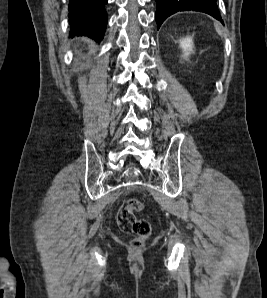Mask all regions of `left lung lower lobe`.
<instances>
[{
	"label": "left lung lower lobe",
	"instance_id": "obj_1",
	"mask_svg": "<svg viewBox=\"0 0 267 298\" xmlns=\"http://www.w3.org/2000/svg\"><path fill=\"white\" fill-rule=\"evenodd\" d=\"M156 22L157 29L170 15L178 11H200L207 13L217 20H221L216 0H156Z\"/></svg>",
	"mask_w": 267,
	"mask_h": 298
}]
</instances>
